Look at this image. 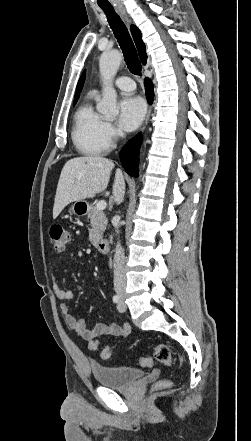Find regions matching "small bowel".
Segmentation results:
<instances>
[{
  "label": "small bowel",
  "mask_w": 251,
  "mask_h": 441,
  "mask_svg": "<svg viewBox=\"0 0 251 441\" xmlns=\"http://www.w3.org/2000/svg\"><path fill=\"white\" fill-rule=\"evenodd\" d=\"M80 264L83 265L84 262H80ZM53 292L57 299L63 302L60 309L65 323L82 339L91 342L94 338L99 336L108 335L127 337L129 335L130 327L127 324L117 325L115 323H98L93 327H87L85 320L77 319L66 303L73 298V291L70 289H64L55 283L53 285Z\"/></svg>",
  "instance_id": "small-bowel-1"
}]
</instances>
